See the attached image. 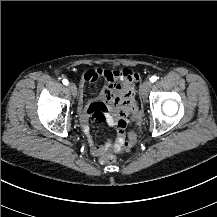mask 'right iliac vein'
<instances>
[{
	"label": "right iliac vein",
	"instance_id": "right-iliac-vein-1",
	"mask_svg": "<svg viewBox=\"0 0 217 217\" xmlns=\"http://www.w3.org/2000/svg\"><path fill=\"white\" fill-rule=\"evenodd\" d=\"M68 88L71 91L72 95L75 97L77 95V87L75 86V84L70 83L68 85Z\"/></svg>",
	"mask_w": 217,
	"mask_h": 217
}]
</instances>
